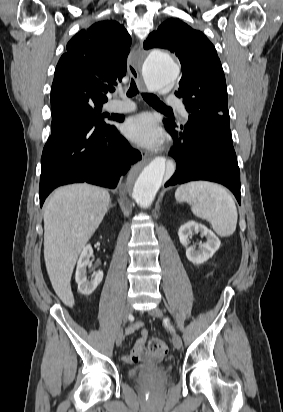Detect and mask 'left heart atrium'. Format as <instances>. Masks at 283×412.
<instances>
[{
    "instance_id": "obj_1",
    "label": "left heart atrium",
    "mask_w": 283,
    "mask_h": 412,
    "mask_svg": "<svg viewBox=\"0 0 283 412\" xmlns=\"http://www.w3.org/2000/svg\"><path fill=\"white\" fill-rule=\"evenodd\" d=\"M123 133L130 141L145 148L157 147L164 140L162 129L148 113L129 118L123 126Z\"/></svg>"
}]
</instances>
